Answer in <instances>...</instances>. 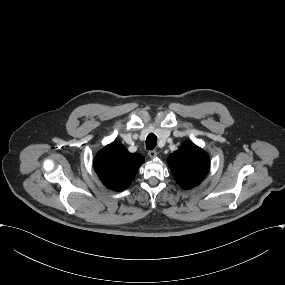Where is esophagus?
<instances>
[{
  "label": "esophagus",
  "mask_w": 285,
  "mask_h": 285,
  "mask_svg": "<svg viewBox=\"0 0 285 285\" xmlns=\"http://www.w3.org/2000/svg\"><path fill=\"white\" fill-rule=\"evenodd\" d=\"M148 155L151 159H153L157 156V151L156 150H149Z\"/></svg>",
  "instance_id": "obj_1"
}]
</instances>
